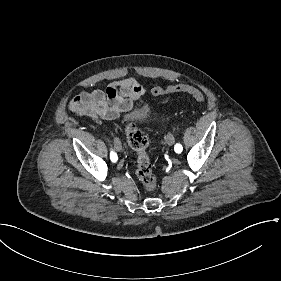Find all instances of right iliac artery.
<instances>
[{"label":"right iliac artery","instance_id":"82829eb1","mask_svg":"<svg viewBox=\"0 0 281 281\" xmlns=\"http://www.w3.org/2000/svg\"><path fill=\"white\" fill-rule=\"evenodd\" d=\"M110 159H111L112 162H116L117 159H118L116 153L111 152V154H110Z\"/></svg>","mask_w":281,"mask_h":281}]
</instances>
